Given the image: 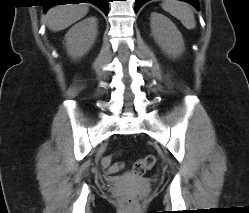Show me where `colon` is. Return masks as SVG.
Segmentation results:
<instances>
[{"instance_id":"obj_1","label":"colon","mask_w":249,"mask_h":213,"mask_svg":"<svg viewBox=\"0 0 249 213\" xmlns=\"http://www.w3.org/2000/svg\"><path fill=\"white\" fill-rule=\"evenodd\" d=\"M113 156H106L102 160V165L109 173H116L122 168V164L113 163ZM155 157L153 155H148L137 160L132 167V172L136 176L143 175L147 170L151 169L155 165ZM121 201L125 204L135 203V193L133 191H128L121 195Z\"/></svg>"}]
</instances>
